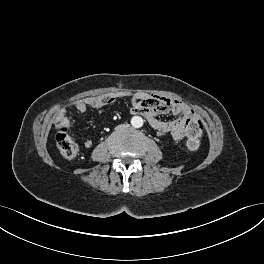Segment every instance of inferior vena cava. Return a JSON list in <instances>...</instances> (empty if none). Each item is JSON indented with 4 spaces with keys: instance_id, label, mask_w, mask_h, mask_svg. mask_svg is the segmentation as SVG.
Returning a JSON list of instances; mask_svg holds the SVG:
<instances>
[{
    "instance_id": "obj_1",
    "label": "inferior vena cava",
    "mask_w": 264,
    "mask_h": 264,
    "mask_svg": "<svg viewBox=\"0 0 264 264\" xmlns=\"http://www.w3.org/2000/svg\"><path fill=\"white\" fill-rule=\"evenodd\" d=\"M132 126L128 123L127 125L125 124V125H123V124H121L120 126L118 125L116 128L119 130H125L126 128L127 129H130Z\"/></svg>"
}]
</instances>
